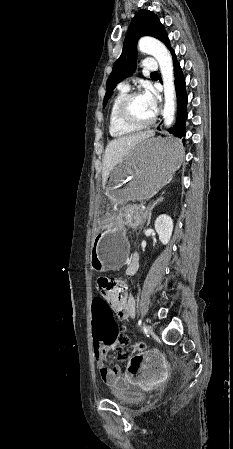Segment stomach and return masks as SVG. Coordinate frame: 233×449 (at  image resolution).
I'll return each instance as SVG.
<instances>
[{"label": "stomach", "mask_w": 233, "mask_h": 449, "mask_svg": "<svg viewBox=\"0 0 233 449\" xmlns=\"http://www.w3.org/2000/svg\"><path fill=\"white\" fill-rule=\"evenodd\" d=\"M183 148L174 137H150L138 143L111 171L106 195L113 201L153 197L180 165ZM101 232L93 241L91 268L96 272L118 270L128 255L129 245L121 223H97Z\"/></svg>", "instance_id": "stomach-1"}]
</instances>
